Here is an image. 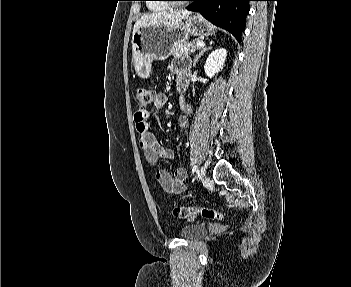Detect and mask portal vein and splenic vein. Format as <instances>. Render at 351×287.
I'll return each mask as SVG.
<instances>
[{"instance_id": "portal-vein-and-splenic-vein-1", "label": "portal vein and splenic vein", "mask_w": 351, "mask_h": 287, "mask_svg": "<svg viewBox=\"0 0 351 287\" xmlns=\"http://www.w3.org/2000/svg\"><path fill=\"white\" fill-rule=\"evenodd\" d=\"M196 45L199 46V47H203L205 44H204L203 41H198V42L196 43Z\"/></svg>"}]
</instances>
